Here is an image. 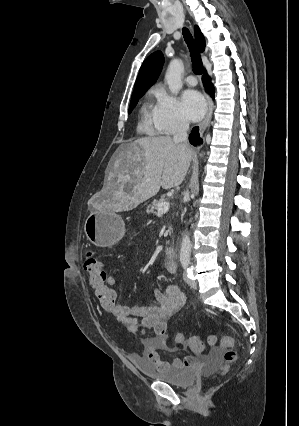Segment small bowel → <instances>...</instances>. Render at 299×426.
I'll list each match as a JSON object with an SVG mask.
<instances>
[{
	"instance_id": "small-bowel-1",
	"label": "small bowel",
	"mask_w": 299,
	"mask_h": 426,
	"mask_svg": "<svg viewBox=\"0 0 299 426\" xmlns=\"http://www.w3.org/2000/svg\"><path fill=\"white\" fill-rule=\"evenodd\" d=\"M163 264L169 273L175 272V261L164 260ZM106 279L111 286H115L117 283L116 278L112 275L107 274ZM154 296L156 304L152 306L116 303L108 311L116 316L117 320L123 323L130 333L144 334L147 331L153 332V335H143L141 344L143 346V358L156 368L168 366L194 367L197 363V357L194 355H188L182 359L176 358L172 363L163 360L160 355L165 350L174 351V348L168 345L170 335L167 322L183 307L185 303L184 294L178 286L171 284L165 291L156 289ZM131 358L133 361H138L142 357L132 354Z\"/></svg>"
}]
</instances>
